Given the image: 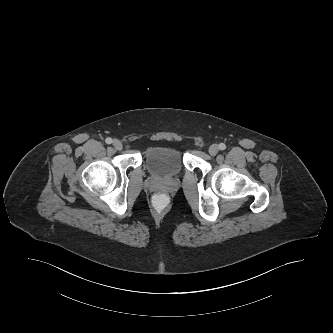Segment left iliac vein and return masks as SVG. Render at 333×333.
<instances>
[{
  "instance_id": "4c4485c4",
  "label": "left iliac vein",
  "mask_w": 333,
  "mask_h": 333,
  "mask_svg": "<svg viewBox=\"0 0 333 333\" xmlns=\"http://www.w3.org/2000/svg\"><path fill=\"white\" fill-rule=\"evenodd\" d=\"M219 151V147L216 144H213L209 147V154L215 156Z\"/></svg>"
}]
</instances>
